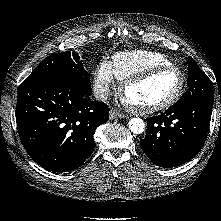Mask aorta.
I'll use <instances>...</instances> for the list:
<instances>
[{
  "label": "aorta",
  "instance_id": "aorta-1",
  "mask_svg": "<svg viewBox=\"0 0 221 221\" xmlns=\"http://www.w3.org/2000/svg\"><path fill=\"white\" fill-rule=\"evenodd\" d=\"M129 129L135 134H141L145 130V123L141 118H132L128 122Z\"/></svg>",
  "mask_w": 221,
  "mask_h": 221
}]
</instances>
